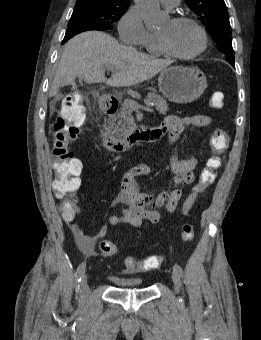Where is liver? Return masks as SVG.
<instances>
[{
	"label": "liver",
	"mask_w": 261,
	"mask_h": 340,
	"mask_svg": "<svg viewBox=\"0 0 261 340\" xmlns=\"http://www.w3.org/2000/svg\"><path fill=\"white\" fill-rule=\"evenodd\" d=\"M171 63L121 45L109 34L84 32L66 44L50 96H56L61 86L76 77L88 84L106 83L111 87H130L151 79ZM107 66L114 68L110 79L105 77L104 69Z\"/></svg>",
	"instance_id": "obj_1"
}]
</instances>
